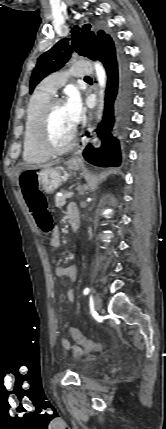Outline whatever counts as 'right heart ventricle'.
<instances>
[{
  "mask_svg": "<svg viewBox=\"0 0 166 429\" xmlns=\"http://www.w3.org/2000/svg\"><path fill=\"white\" fill-rule=\"evenodd\" d=\"M53 94L39 88L31 97L26 117L23 135V159L28 163H44L50 155L42 151L36 141L37 122L44 105Z\"/></svg>",
  "mask_w": 166,
  "mask_h": 429,
  "instance_id": "right-heart-ventricle-1",
  "label": "right heart ventricle"
}]
</instances>
